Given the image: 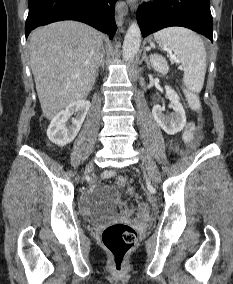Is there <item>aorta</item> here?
Instances as JSON below:
<instances>
[{
    "instance_id": "762f6f07",
    "label": "aorta",
    "mask_w": 233,
    "mask_h": 284,
    "mask_svg": "<svg viewBox=\"0 0 233 284\" xmlns=\"http://www.w3.org/2000/svg\"><path fill=\"white\" fill-rule=\"evenodd\" d=\"M141 44V31L138 24L134 21L129 26L123 43L124 60H132L138 53Z\"/></svg>"
}]
</instances>
